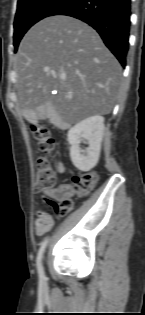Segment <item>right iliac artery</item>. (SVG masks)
I'll list each match as a JSON object with an SVG mask.
<instances>
[{"label":"right iliac artery","mask_w":145,"mask_h":315,"mask_svg":"<svg viewBox=\"0 0 145 315\" xmlns=\"http://www.w3.org/2000/svg\"><path fill=\"white\" fill-rule=\"evenodd\" d=\"M47 242H48V238L45 239L41 243V247H40L38 254H37V269H38V274H39V278L41 281L45 280L44 269H43V265H42V257H43V253H44L45 247L47 245Z\"/></svg>","instance_id":"1"}]
</instances>
